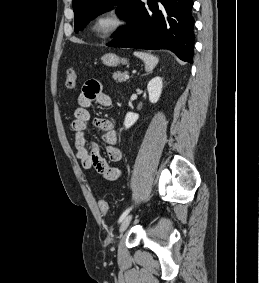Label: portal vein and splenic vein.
I'll return each instance as SVG.
<instances>
[{
    "label": "portal vein and splenic vein",
    "mask_w": 259,
    "mask_h": 283,
    "mask_svg": "<svg viewBox=\"0 0 259 283\" xmlns=\"http://www.w3.org/2000/svg\"><path fill=\"white\" fill-rule=\"evenodd\" d=\"M125 79H129V75L128 74L125 75Z\"/></svg>",
    "instance_id": "1"
}]
</instances>
